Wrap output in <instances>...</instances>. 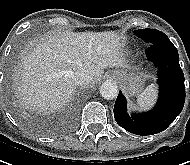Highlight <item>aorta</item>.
Instances as JSON below:
<instances>
[{"label":"aorta","mask_w":190,"mask_h":165,"mask_svg":"<svg viewBox=\"0 0 190 165\" xmlns=\"http://www.w3.org/2000/svg\"><path fill=\"white\" fill-rule=\"evenodd\" d=\"M100 94L107 100L115 99L118 95V86L112 80H106L100 86Z\"/></svg>","instance_id":"obj_1"}]
</instances>
